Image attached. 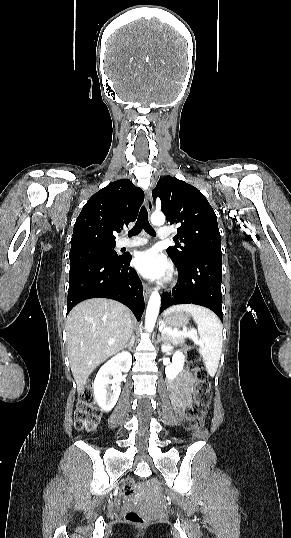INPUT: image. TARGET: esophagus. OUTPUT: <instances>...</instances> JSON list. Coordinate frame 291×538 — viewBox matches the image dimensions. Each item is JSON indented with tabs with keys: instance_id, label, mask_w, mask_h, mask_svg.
Instances as JSON below:
<instances>
[{
	"instance_id": "obj_1",
	"label": "esophagus",
	"mask_w": 291,
	"mask_h": 538,
	"mask_svg": "<svg viewBox=\"0 0 291 538\" xmlns=\"http://www.w3.org/2000/svg\"><path fill=\"white\" fill-rule=\"evenodd\" d=\"M145 203H146L148 213H151L152 210H153V198H152V193H151L150 189H148L146 191ZM143 291H144V297L147 299L149 297V294L151 293L152 289L148 284L144 283L143 284Z\"/></svg>"
}]
</instances>
